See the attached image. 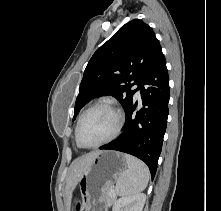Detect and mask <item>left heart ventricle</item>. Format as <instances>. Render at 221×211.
I'll return each instance as SVG.
<instances>
[{"label": "left heart ventricle", "mask_w": 221, "mask_h": 211, "mask_svg": "<svg viewBox=\"0 0 221 211\" xmlns=\"http://www.w3.org/2000/svg\"><path fill=\"white\" fill-rule=\"evenodd\" d=\"M116 125L115 114L103 107L95 108L84 118L80 139L83 144H96L110 136Z\"/></svg>", "instance_id": "1"}]
</instances>
